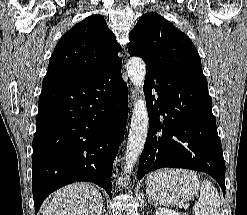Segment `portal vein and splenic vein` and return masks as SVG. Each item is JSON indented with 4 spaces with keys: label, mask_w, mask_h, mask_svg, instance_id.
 <instances>
[{
    "label": "portal vein and splenic vein",
    "mask_w": 247,
    "mask_h": 215,
    "mask_svg": "<svg viewBox=\"0 0 247 215\" xmlns=\"http://www.w3.org/2000/svg\"><path fill=\"white\" fill-rule=\"evenodd\" d=\"M188 206H189V204H186V205H185V207H188Z\"/></svg>",
    "instance_id": "portal-vein-and-splenic-vein-1"
}]
</instances>
